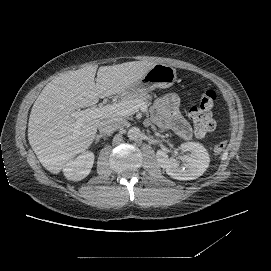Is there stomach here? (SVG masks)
Segmentation results:
<instances>
[{"label":"stomach","instance_id":"0dacf381","mask_svg":"<svg viewBox=\"0 0 271 271\" xmlns=\"http://www.w3.org/2000/svg\"><path fill=\"white\" fill-rule=\"evenodd\" d=\"M176 80L177 73L174 67L168 64L157 63L126 91V95L140 92V90L166 89L173 86Z\"/></svg>","mask_w":271,"mask_h":271}]
</instances>
